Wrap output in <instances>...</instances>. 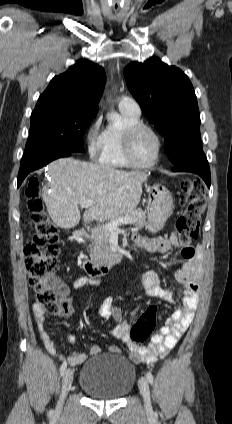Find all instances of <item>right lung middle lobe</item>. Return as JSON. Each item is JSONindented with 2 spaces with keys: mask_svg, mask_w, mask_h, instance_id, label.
<instances>
[{
  "mask_svg": "<svg viewBox=\"0 0 232 424\" xmlns=\"http://www.w3.org/2000/svg\"><path fill=\"white\" fill-rule=\"evenodd\" d=\"M95 114L75 107H47L31 114L29 138L21 162L46 151H83V133Z\"/></svg>",
  "mask_w": 232,
  "mask_h": 424,
  "instance_id": "right-lung-middle-lobe-1",
  "label": "right lung middle lobe"
}]
</instances>
